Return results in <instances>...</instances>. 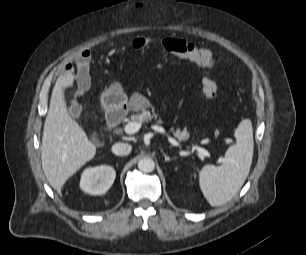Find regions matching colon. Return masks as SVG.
Listing matches in <instances>:
<instances>
[{"mask_svg":"<svg viewBox=\"0 0 306 255\" xmlns=\"http://www.w3.org/2000/svg\"><path fill=\"white\" fill-rule=\"evenodd\" d=\"M149 44V40L145 37L137 38L133 41L132 47L136 50H143ZM164 48L180 57L188 59L198 66L212 69L218 64L217 58L211 51L200 48L194 43L174 38H166L162 42ZM203 91L207 99L213 100L217 96L218 87L212 78L203 80Z\"/></svg>","mask_w":306,"mask_h":255,"instance_id":"5ec220e1","label":"colon"}]
</instances>
